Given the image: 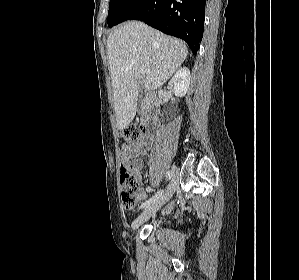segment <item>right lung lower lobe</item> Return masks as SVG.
I'll use <instances>...</instances> for the list:
<instances>
[{
  "mask_svg": "<svg viewBox=\"0 0 299 280\" xmlns=\"http://www.w3.org/2000/svg\"><path fill=\"white\" fill-rule=\"evenodd\" d=\"M206 0H136L122 15L185 40L196 54L202 40Z\"/></svg>",
  "mask_w": 299,
  "mask_h": 280,
  "instance_id": "right-lung-lower-lobe-1",
  "label": "right lung lower lobe"
}]
</instances>
